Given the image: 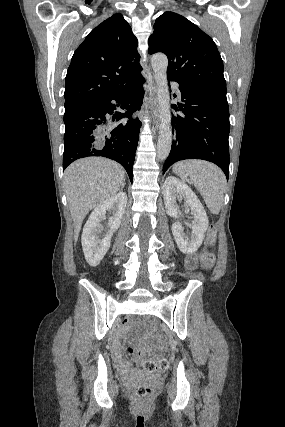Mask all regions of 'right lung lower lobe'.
I'll use <instances>...</instances> for the list:
<instances>
[{
  "instance_id": "obj_1",
  "label": "right lung lower lobe",
  "mask_w": 285,
  "mask_h": 427,
  "mask_svg": "<svg viewBox=\"0 0 285 427\" xmlns=\"http://www.w3.org/2000/svg\"><path fill=\"white\" fill-rule=\"evenodd\" d=\"M144 78L139 76L125 88L99 98L83 101L65 108L63 170L73 161L89 156H103L120 163L132 182V167L138 142L141 122L130 116L140 109L143 97ZM121 103L125 113L113 115V121L129 118L113 130L107 127V114L116 108L111 101Z\"/></svg>"
}]
</instances>
